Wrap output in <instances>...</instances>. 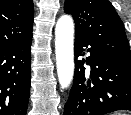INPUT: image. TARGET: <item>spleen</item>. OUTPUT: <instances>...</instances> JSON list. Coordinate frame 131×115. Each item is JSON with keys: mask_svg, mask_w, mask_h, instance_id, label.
<instances>
[{"mask_svg": "<svg viewBox=\"0 0 131 115\" xmlns=\"http://www.w3.org/2000/svg\"><path fill=\"white\" fill-rule=\"evenodd\" d=\"M116 115H125V114H116Z\"/></svg>", "mask_w": 131, "mask_h": 115, "instance_id": "obj_1", "label": "spleen"}]
</instances>
